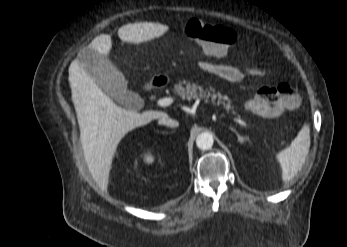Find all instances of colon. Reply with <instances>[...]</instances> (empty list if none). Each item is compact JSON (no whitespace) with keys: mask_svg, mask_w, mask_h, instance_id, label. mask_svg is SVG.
<instances>
[{"mask_svg":"<svg viewBox=\"0 0 347 247\" xmlns=\"http://www.w3.org/2000/svg\"><path fill=\"white\" fill-rule=\"evenodd\" d=\"M186 33L206 54L214 58H223L237 38L232 28L199 19L188 22ZM248 104L259 115L274 117L297 108L299 97L294 87L288 83H281L275 87L260 88Z\"/></svg>","mask_w":347,"mask_h":247,"instance_id":"obj_1","label":"colon"}]
</instances>
